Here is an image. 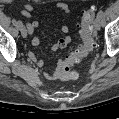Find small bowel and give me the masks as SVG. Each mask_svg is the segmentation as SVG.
I'll return each mask as SVG.
<instances>
[{"label": "small bowel", "instance_id": "small-bowel-1", "mask_svg": "<svg viewBox=\"0 0 119 119\" xmlns=\"http://www.w3.org/2000/svg\"><path fill=\"white\" fill-rule=\"evenodd\" d=\"M56 7L61 12H63L66 16H69L70 13H71L69 6L66 3H64V2H58L56 4ZM36 9H38V7H35V6L31 5V4H25L22 7L21 14L24 17H26V18H31L32 17V12L35 11ZM38 26H39V22L36 21V20H33V21L27 23V28H28L29 34L32 36L31 44L33 46H38L39 43H40V39L37 36H33V33H34L35 29L38 28ZM61 30H62V32L66 36L63 37V38H61V39H59L52 46V50L53 51H56V50L65 48L70 43V41H71L70 36L67 35L69 33V27H68V25L62 26V29ZM29 58L32 61H34L38 66H42L43 65V61L41 59L36 58V56L32 52H29ZM60 63H61V61L58 62L57 68L55 70L50 71V72H46L44 74L46 79H48V80H56V79L59 78Z\"/></svg>", "mask_w": 119, "mask_h": 119}]
</instances>
